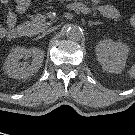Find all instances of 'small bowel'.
I'll use <instances>...</instances> for the list:
<instances>
[{"instance_id": "c3829d8e", "label": "small bowel", "mask_w": 135, "mask_h": 135, "mask_svg": "<svg viewBox=\"0 0 135 135\" xmlns=\"http://www.w3.org/2000/svg\"><path fill=\"white\" fill-rule=\"evenodd\" d=\"M101 0H94L98 11L102 16L108 19H116L119 17L118 10L109 4H102ZM7 8V19L5 25L0 23V38L13 37L16 30V14H23L27 9L28 0H15V5H12L10 0H0ZM83 8V6H79Z\"/></svg>"}]
</instances>
